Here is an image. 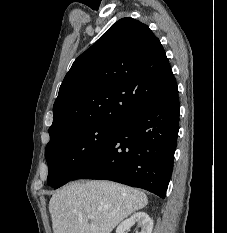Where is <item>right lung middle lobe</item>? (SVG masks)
<instances>
[{
	"instance_id": "dd1d6c3e",
	"label": "right lung middle lobe",
	"mask_w": 227,
	"mask_h": 233,
	"mask_svg": "<svg viewBox=\"0 0 227 233\" xmlns=\"http://www.w3.org/2000/svg\"><path fill=\"white\" fill-rule=\"evenodd\" d=\"M119 123H91L50 138L45 149L49 167L47 183L54 189L66 184L115 133Z\"/></svg>"
}]
</instances>
